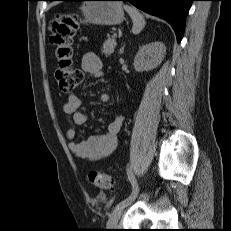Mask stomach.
Returning a JSON list of instances; mask_svg holds the SVG:
<instances>
[{
  "label": "stomach",
  "instance_id": "1",
  "mask_svg": "<svg viewBox=\"0 0 231 231\" xmlns=\"http://www.w3.org/2000/svg\"><path fill=\"white\" fill-rule=\"evenodd\" d=\"M87 22L96 25H117L124 19L120 2L108 0H89L81 6Z\"/></svg>",
  "mask_w": 231,
  "mask_h": 231
}]
</instances>
